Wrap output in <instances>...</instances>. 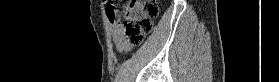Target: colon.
<instances>
[{
  "instance_id": "5ec220e1",
  "label": "colon",
  "mask_w": 279,
  "mask_h": 82,
  "mask_svg": "<svg viewBox=\"0 0 279 82\" xmlns=\"http://www.w3.org/2000/svg\"><path fill=\"white\" fill-rule=\"evenodd\" d=\"M119 9L120 24L128 46L140 45L152 30V22L159 14L156 1L124 0Z\"/></svg>"
}]
</instances>
